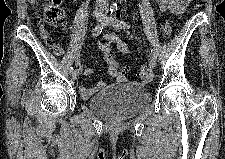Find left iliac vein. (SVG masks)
<instances>
[{
    "instance_id": "obj_1",
    "label": "left iliac vein",
    "mask_w": 225,
    "mask_h": 159,
    "mask_svg": "<svg viewBox=\"0 0 225 159\" xmlns=\"http://www.w3.org/2000/svg\"><path fill=\"white\" fill-rule=\"evenodd\" d=\"M101 22L103 23L104 26H113L116 29H126L128 28L127 26H124L122 24L117 25L114 20L110 19L107 15H104ZM157 64V59L156 56L151 54L150 59H149V65L154 68Z\"/></svg>"
}]
</instances>
